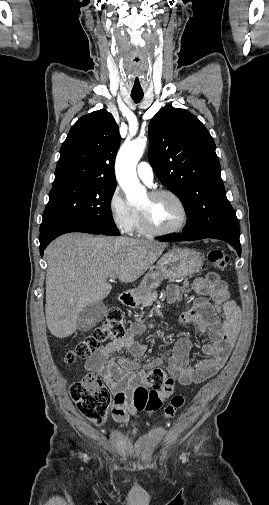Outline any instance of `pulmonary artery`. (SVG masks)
I'll return each instance as SVG.
<instances>
[{"mask_svg":"<svg viewBox=\"0 0 269 505\" xmlns=\"http://www.w3.org/2000/svg\"><path fill=\"white\" fill-rule=\"evenodd\" d=\"M138 177L146 184L151 185L154 178V172L148 162L142 161L137 166Z\"/></svg>","mask_w":269,"mask_h":505,"instance_id":"e3ab8cb5","label":"pulmonary artery"}]
</instances>
